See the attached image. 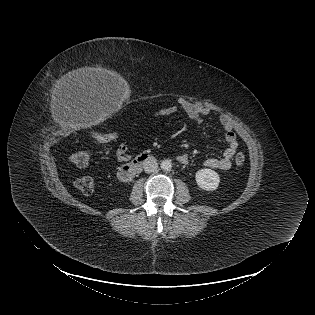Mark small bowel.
<instances>
[{
    "label": "small bowel",
    "mask_w": 315,
    "mask_h": 315,
    "mask_svg": "<svg viewBox=\"0 0 315 315\" xmlns=\"http://www.w3.org/2000/svg\"><path fill=\"white\" fill-rule=\"evenodd\" d=\"M179 107L188 115L191 120L196 123H201L204 121L212 112L208 107L200 106L185 99H181L178 105H172L159 109L155 112L154 116L156 118L170 116L176 113ZM218 120L224 130V137L227 142V147L224 150L222 156L209 157L204 161V165L211 169L229 170L232 166V159L235 156L238 148L237 137L233 130L232 121L228 115L220 114ZM115 156L119 162H127L131 158L129 147L126 144H121L117 148ZM177 160L182 164H186L188 162V156L186 154H180L177 156Z\"/></svg>",
    "instance_id": "small-bowel-1"
}]
</instances>
